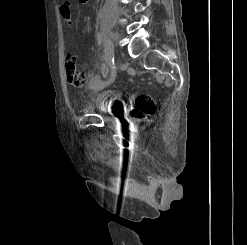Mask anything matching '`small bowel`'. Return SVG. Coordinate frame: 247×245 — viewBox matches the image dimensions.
Instances as JSON below:
<instances>
[{
    "instance_id": "small-bowel-1",
    "label": "small bowel",
    "mask_w": 247,
    "mask_h": 245,
    "mask_svg": "<svg viewBox=\"0 0 247 245\" xmlns=\"http://www.w3.org/2000/svg\"><path fill=\"white\" fill-rule=\"evenodd\" d=\"M88 0H80L81 3H86ZM60 12L64 19L69 21L71 19L70 4L68 2L63 3L60 6Z\"/></svg>"
}]
</instances>
